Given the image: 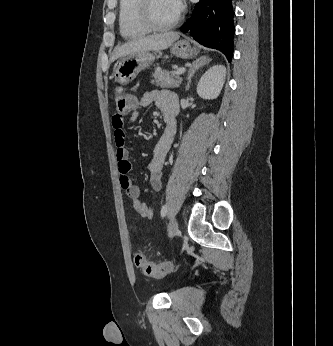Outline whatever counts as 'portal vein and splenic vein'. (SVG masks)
<instances>
[{
    "mask_svg": "<svg viewBox=\"0 0 333 346\" xmlns=\"http://www.w3.org/2000/svg\"><path fill=\"white\" fill-rule=\"evenodd\" d=\"M185 71H186L185 68H179V69L175 72V74H176V75H180V74H183Z\"/></svg>",
    "mask_w": 333,
    "mask_h": 346,
    "instance_id": "obj_1",
    "label": "portal vein and splenic vein"
}]
</instances>
